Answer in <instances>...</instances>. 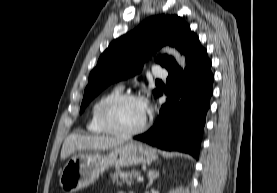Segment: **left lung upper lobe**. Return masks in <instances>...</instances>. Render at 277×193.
I'll use <instances>...</instances> for the list:
<instances>
[{
  "mask_svg": "<svg viewBox=\"0 0 277 193\" xmlns=\"http://www.w3.org/2000/svg\"><path fill=\"white\" fill-rule=\"evenodd\" d=\"M195 36L182 18L177 15H160L148 18L135 30L114 40L90 73L80 113L108 85L138 74L151 53L169 44L183 54ZM156 62L166 69L176 64L167 55L159 56ZM160 93L161 91L154 90L156 96Z\"/></svg>",
  "mask_w": 277,
  "mask_h": 193,
  "instance_id": "obj_1",
  "label": "left lung upper lobe"
}]
</instances>
